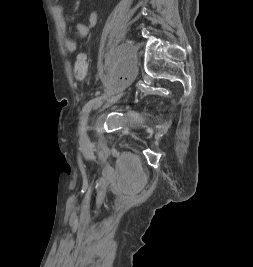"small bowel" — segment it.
Returning a JSON list of instances; mask_svg holds the SVG:
<instances>
[{"label":"small bowel","instance_id":"obj_1","mask_svg":"<svg viewBox=\"0 0 253 267\" xmlns=\"http://www.w3.org/2000/svg\"><path fill=\"white\" fill-rule=\"evenodd\" d=\"M53 11L58 19L66 51L69 53L76 52L78 44L74 39L70 38L68 35L67 24L63 14V7L61 5H55L53 7ZM97 20H98L97 13L94 11L90 12L87 24L81 22L75 24V31L77 35L82 38L86 37L89 34L90 30L96 25Z\"/></svg>","mask_w":253,"mask_h":267}]
</instances>
